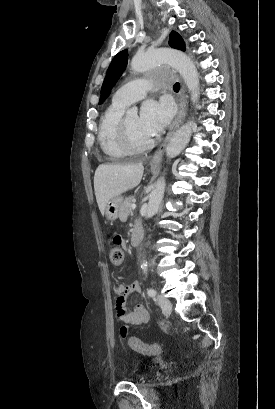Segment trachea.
I'll list each match as a JSON object with an SVG mask.
<instances>
[{"label": "trachea", "mask_w": 275, "mask_h": 409, "mask_svg": "<svg viewBox=\"0 0 275 409\" xmlns=\"http://www.w3.org/2000/svg\"><path fill=\"white\" fill-rule=\"evenodd\" d=\"M173 90L179 91V90H180V83L176 82V83L173 85Z\"/></svg>", "instance_id": "3493384b"}]
</instances>
